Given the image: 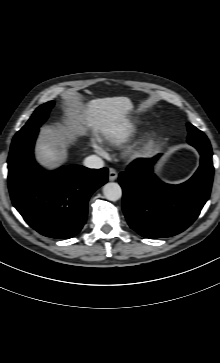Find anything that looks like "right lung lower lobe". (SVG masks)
Segmentation results:
<instances>
[{"label":"right lung lower lobe","mask_w":220,"mask_h":363,"mask_svg":"<svg viewBox=\"0 0 220 363\" xmlns=\"http://www.w3.org/2000/svg\"><path fill=\"white\" fill-rule=\"evenodd\" d=\"M38 128L13 141L8 157V185L14 207L40 234L68 239L86 221L91 194L107 182L108 169L69 165L42 170L33 158Z\"/></svg>","instance_id":"1"}]
</instances>
